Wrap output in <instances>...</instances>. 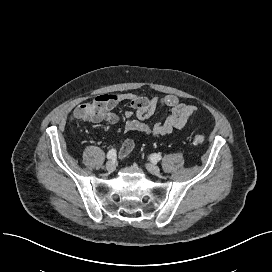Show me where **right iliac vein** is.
I'll return each mask as SVG.
<instances>
[{"instance_id":"obj_1","label":"right iliac vein","mask_w":272,"mask_h":272,"mask_svg":"<svg viewBox=\"0 0 272 272\" xmlns=\"http://www.w3.org/2000/svg\"><path fill=\"white\" fill-rule=\"evenodd\" d=\"M105 168L108 172H113L115 170V164L113 161H108L105 165Z\"/></svg>"}]
</instances>
